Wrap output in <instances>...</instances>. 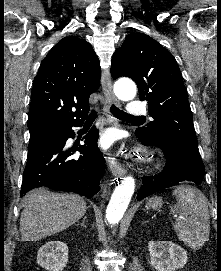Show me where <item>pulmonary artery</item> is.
<instances>
[{
	"label": "pulmonary artery",
	"instance_id": "e3ab8cb5",
	"mask_svg": "<svg viewBox=\"0 0 221 271\" xmlns=\"http://www.w3.org/2000/svg\"><path fill=\"white\" fill-rule=\"evenodd\" d=\"M146 102H130V112H145ZM132 116V113H129Z\"/></svg>",
	"mask_w": 221,
	"mask_h": 271
}]
</instances>
